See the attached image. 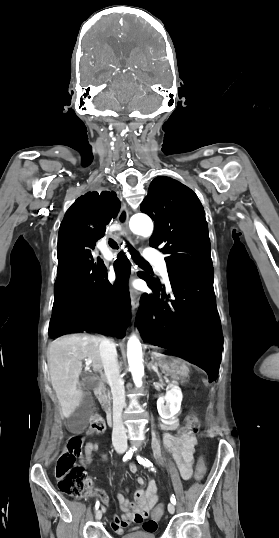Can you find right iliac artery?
Returning a JSON list of instances; mask_svg holds the SVG:
<instances>
[{
    "label": "right iliac artery",
    "mask_w": 279,
    "mask_h": 538,
    "mask_svg": "<svg viewBox=\"0 0 279 538\" xmlns=\"http://www.w3.org/2000/svg\"><path fill=\"white\" fill-rule=\"evenodd\" d=\"M132 455H133L132 450L127 451L125 456L123 457V461L126 462L127 460L131 459ZM98 508H99V501H97L95 504V509L97 510Z\"/></svg>",
    "instance_id": "1"
}]
</instances>
